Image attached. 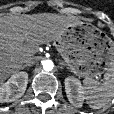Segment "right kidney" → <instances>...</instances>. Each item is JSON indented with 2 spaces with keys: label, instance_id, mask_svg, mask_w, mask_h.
I'll use <instances>...</instances> for the list:
<instances>
[{
  "label": "right kidney",
  "instance_id": "1",
  "mask_svg": "<svg viewBox=\"0 0 114 114\" xmlns=\"http://www.w3.org/2000/svg\"><path fill=\"white\" fill-rule=\"evenodd\" d=\"M28 73L18 72L0 87V102H12L23 96L27 88Z\"/></svg>",
  "mask_w": 114,
  "mask_h": 114
}]
</instances>
